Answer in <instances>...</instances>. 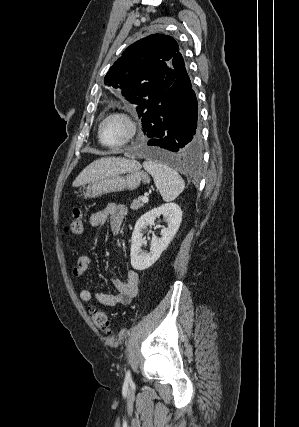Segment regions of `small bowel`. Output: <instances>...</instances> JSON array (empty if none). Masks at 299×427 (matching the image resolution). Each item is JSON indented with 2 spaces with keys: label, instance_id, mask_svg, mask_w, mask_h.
Listing matches in <instances>:
<instances>
[{
  "label": "small bowel",
  "instance_id": "obj_1",
  "mask_svg": "<svg viewBox=\"0 0 299 427\" xmlns=\"http://www.w3.org/2000/svg\"><path fill=\"white\" fill-rule=\"evenodd\" d=\"M126 215L127 209L124 205L109 203L104 209L90 216V224L94 227H98L109 221L111 232L113 234H118ZM90 264V257L86 255L80 256L73 269V275L75 277H82L89 270ZM110 281L116 293H96L95 299L100 304L108 307H116L126 305L136 297L140 277L135 270H128L124 279L111 277ZM79 296L81 301L90 303L93 298V293L88 287H85L80 291Z\"/></svg>",
  "mask_w": 299,
  "mask_h": 427
}]
</instances>
